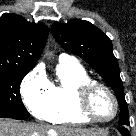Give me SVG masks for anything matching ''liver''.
Here are the masks:
<instances>
[{"mask_svg":"<svg viewBox=\"0 0 136 136\" xmlns=\"http://www.w3.org/2000/svg\"><path fill=\"white\" fill-rule=\"evenodd\" d=\"M0 136H107L97 129L70 127L51 128L44 124L19 123L10 119H0Z\"/></svg>","mask_w":136,"mask_h":136,"instance_id":"liver-1","label":"liver"}]
</instances>
